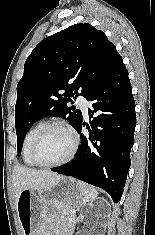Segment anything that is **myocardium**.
I'll return each mask as SVG.
<instances>
[{"label": "myocardium", "mask_w": 155, "mask_h": 235, "mask_svg": "<svg viewBox=\"0 0 155 235\" xmlns=\"http://www.w3.org/2000/svg\"><path fill=\"white\" fill-rule=\"evenodd\" d=\"M53 129H61V130H64L65 132L68 133V135L70 136L71 141H72L71 150H70L69 154L64 159H62L58 162L44 163V162H41L37 158V148H38L39 144L41 143V141L43 140V138L46 136V134ZM78 147H79V136L76 133V131L65 122L54 121V122L46 124L45 127L38 133V135L36 136L35 140L33 141L32 146H31L30 156H31L32 161L37 166L46 167V168H54V167L63 166L65 164L69 163L71 160H73V158L75 157V155L77 153Z\"/></svg>", "instance_id": "obj_1"}]
</instances>
